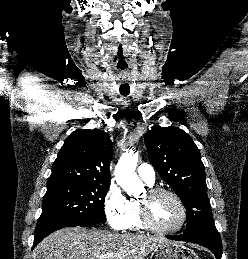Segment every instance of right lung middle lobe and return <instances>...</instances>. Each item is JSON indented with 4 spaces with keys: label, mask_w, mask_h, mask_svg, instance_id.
I'll use <instances>...</instances> for the list:
<instances>
[{
    "label": "right lung middle lobe",
    "mask_w": 248,
    "mask_h": 259,
    "mask_svg": "<svg viewBox=\"0 0 248 259\" xmlns=\"http://www.w3.org/2000/svg\"><path fill=\"white\" fill-rule=\"evenodd\" d=\"M110 183L48 184L38 223L61 220L84 225L106 221L104 200Z\"/></svg>",
    "instance_id": "right-lung-middle-lobe-1"
}]
</instances>
